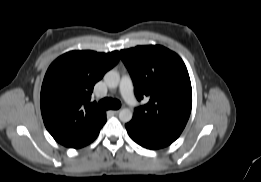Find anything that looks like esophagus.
<instances>
[{
	"label": "esophagus",
	"instance_id": "esophagus-1",
	"mask_svg": "<svg viewBox=\"0 0 261 182\" xmlns=\"http://www.w3.org/2000/svg\"><path fill=\"white\" fill-rule=\"evenodd\" d=\"M111 112L116 115L120 112V110L119 109L118 110H111Z\"/></svg>",
	"mask_w": 261,
	"mask_h": 182
}]
</instances>
